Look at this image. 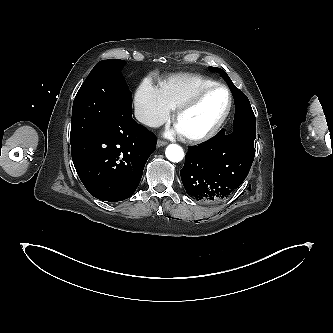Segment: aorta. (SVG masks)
I'll return each instance as SVG.
<instances>
[{
    "label": "aorta",
    "instance_id": "aorta-1",
    "mask_svg": "<svg viewBox=\"0 0 333 333\" xmlns=\"http://www.w3.org/2000/svg\"><path fill=\"white\" fill-rule=\"evenodd\" d=\"M165 154L171 162H180L184 157L183 149L177 144L168 145Z\"/></svg>",
    "mask_w": 333,
    "mask_h": 333
}]
</instances>
